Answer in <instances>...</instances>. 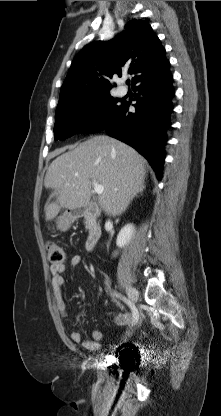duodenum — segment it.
<instances>
[{
  "instance_id": "1",
  "label": "duodenum",
  "mask_w": 221,
  "mask_h": 416,
  "mask_svg": "<svg viewBox=\"0 0 221 416\" xmlns=\"http://www.w3.org/2000/svg\"><path fill=\"white\" fill-rule=\"evenodd\" d=\"M98 211V206L93 202L71 210V214L74 217H87L89 220V233L86 240V248L88 251H92L96 247L102 236L101 229L95 221Z\"/></svg>"
}]
</instances>
